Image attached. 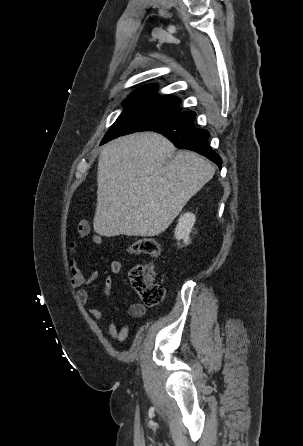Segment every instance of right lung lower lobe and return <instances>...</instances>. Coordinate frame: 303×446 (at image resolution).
<instances>
[{
	"label": "right lung lower lobe",
	"mask_w": 303,
	"mask_h": 446,
	"mask_svg": "<svg viewBox=\"0 0 303 446\" xmlns=\"http://www.w3.org/2000/svg\"><path fill=\"white\" fill-rule=\"evenodd\" d=\"M196 113L193 111H178L164 116L146 126L141 131H155L167 137L177 148L197 152L219 168L222 166L221 157L208 144L209 132L198 129L194 125Z\"/></svg>",
	"instance_id": "right-lung-lower-lobe-1"
}]
</instances>
